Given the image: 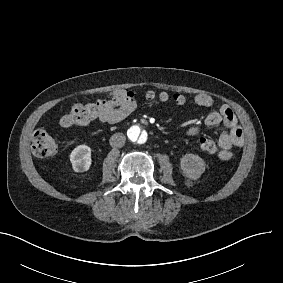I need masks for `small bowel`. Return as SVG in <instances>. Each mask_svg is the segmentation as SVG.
Wrapping results in <instances>:
<instances>
[{
    "label": "small bowel",
    "instance_id": "1",
    "mask_svg": "<svg viewBox=\"0 0 283 283\" xmlns=\"http://www.w3.org/2000/svg\"><path fill=\"white\" fill-rule=\"evenodd\" d=\"M194 102L201 107H213L216 102L207 94H197ZM136 94L122 88L114 89L104 96V101L99 109V121L102 124H115L127 118L136 109ZM204 124L213 127L222 124L225 131L220 134L222 143L221 152L216 155L222 161H228L233 157V150L244 144L243 131L238 124L233 110L228 105H220L217 109L208 113ZM198 126L188 129L189 135H197Z\"/></svg>",
    "mask_w": 283,
    "mask_h": 283
}]
</instances>
